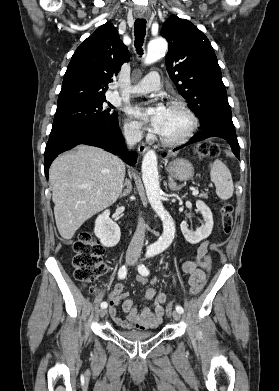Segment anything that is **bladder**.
<instances>
[{
    "label": "bladder",
    "instance_id": "1",
    "mask_svg": "<svg viewBox=\"0 0 279 391\" xmlns=\"http://www.w3.org/2000/svg\"><path fill=\"white\" fill-rule=\"evenodd\" d=\"M117 334L121 338L133 342H141L151 338L154 335L153 332H139V331H130V330H118Z\"/></svg>",
    "mask_w": 279,
    "mask_h": 391
}]
</instances>
